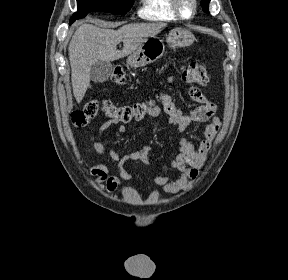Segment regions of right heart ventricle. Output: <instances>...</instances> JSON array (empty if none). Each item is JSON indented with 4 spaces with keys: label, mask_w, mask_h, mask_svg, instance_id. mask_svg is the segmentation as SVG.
Wrapping results in <instances>:
<instances>
[{
    "label": "right heart ventricle",
    "mask_w": 288,
    "mask_h": 280,
    "mask_svg": "<svg viewBox=\"0 0 288 280\" xmlns=\"http://www.w3.org/2000/svg\"><path fill=\"white\" fill-rule=\"evenodd\" d=\"M138 15L151 21H176L178 17L173 11L171 0H141Z\"/></svg>",
    "instance_id": "right-heart-ventricle-1"
}]
</instances>
